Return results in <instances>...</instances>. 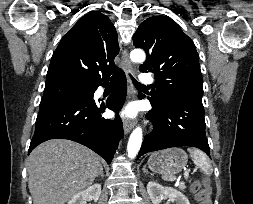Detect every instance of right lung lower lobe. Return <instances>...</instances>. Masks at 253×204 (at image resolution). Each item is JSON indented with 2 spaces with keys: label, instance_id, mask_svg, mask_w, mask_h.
<instances>
[{
  "label": "right lung lower lobe",
  "instance_id": "1",
  "mask_svg": "<svg viewBox=\"0 0 253 204\" xmlns=\"http://www.w3.org/2000/svg\"><path fill=\"white\" fill-rule=\"evenodd\" d=\"M116 76L115 90L106 104L95 102L93 97L41 101L28 154L44 141L61 138L87 146L110 164L117 144L123 137V126L118 115L114 120H108L101 117V113L105 108L118 113L124 103L126 76L122 70ZM98 86L93 87L94 92Z\"/></svg>",
  "mask_w": 253,
  "mask_h": 204
}]
</instances>
